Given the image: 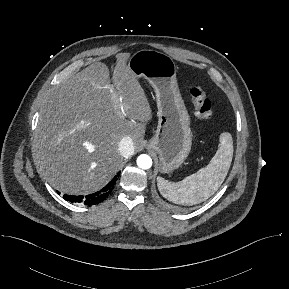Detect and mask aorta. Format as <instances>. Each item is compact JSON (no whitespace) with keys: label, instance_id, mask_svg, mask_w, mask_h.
Masks as SVG:
<instances>
[{"label":"aorta","instance_id":"obj_1","mask_svg":"<svg viewBox=\"0 0 289 289\" xmlns=\"http://www.w3.org/2000/svg\"><path fill=\"white\" fill-rule=\"evenodd\" d=\"M137 165L141 169H149L152 166V159L146 154H142L137 158Z\"/></svg>","mask_w":289,"mask_h":289}]
</instances>
